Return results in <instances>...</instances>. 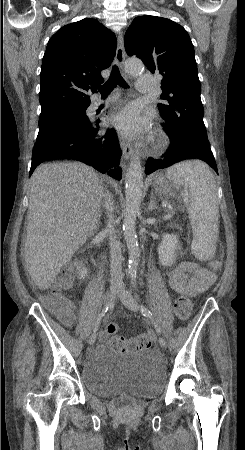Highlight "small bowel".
Listing matches in <instances>:
<instances>
[{
    "label": "small bowel",
    "mask_w": 245,
    "mask_h": 450,
    "mask_svg": "<svg viewBox=\"0 0 245 450\" xmlns=\"http://www.w3.org/2000/svg\"><path fill=\"white\" fill-rule=\"evenodd\" d=\"M216 281V274L208 268L192 262H181L169 275L168 282L173 291L178 294L193 296L206 291ZM103 344L97 351L106 349V335H101Z\"/></svg>",
    "instance_id": "obj_1"
}]
</instances>
